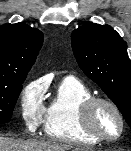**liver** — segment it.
<instances>
[{
  "instance_id": "obj_1",
  "label": "liver",
  "mask_w": 131,
  "mask_h": 151,
  "mask_svg": "<svg viewBox=\"0 0 131 151\" xmlns=\"http://www.w3.org/2000/svg\"><path fill=\"white\" fill-rule=\"evenodd\" d=\"M71 146L58 142L17 141L0 137V151H68ZM80 151V149H76Z\"/></svg>"
}]
</instances>
